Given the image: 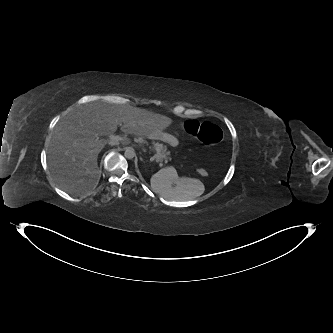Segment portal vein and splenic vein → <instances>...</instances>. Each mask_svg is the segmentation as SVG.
I'll return each instance as SVG.
<instances>
[{
  "instance_id": "obj_1",
  "label": "portal vein and splenic vein",
  "mask_w": 333,
  "mask_h": 333,
  "mask_svg": "<svg viewBox=\"0 0 333 333\" xmlns=\"http://www.w3.org/2000/svg\"><path fill=\"white\" fill-rule=\"evenodd\" d=\"M124 138H125V137L111 135V136H110V141L119 142V141L123 140ZM151 161H157V160H156V156L151 157ZM157 162H158V161H157ZM159 166H163V163H162V162H159Z\"/></svg>"
}]
</instances>
